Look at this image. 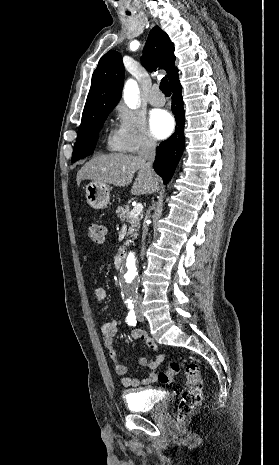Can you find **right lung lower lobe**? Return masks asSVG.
I'll list each match as a JSON object with an SVG mask.
<instances>
[{"label": "right lung lower lobe", "instance_id": "right-lung-lower-lobe-1", "mask_svg": "<svg viewBox=\"0 0 279 465\" xmlns=\"http://www.w3.org/2000/svg\"><path fill=\"white\" fill-rule=\"evenodd\" d=\"M181 85L179 80L171 86L173 92L172 96V111L176 119L175 133L162 142L156 148V158L154 162V169L167 184L175 170V166L181 158L184 148V122L185 112L183 109V100L181 96Z\"/></svg>", "mask_w": 279, "mask_h": 465}]
</instances>
